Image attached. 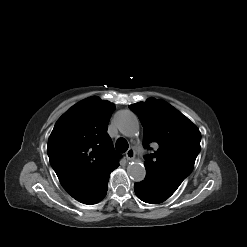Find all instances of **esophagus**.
I'll use <instances>...</instances> for the list:
<instances>
[{
	"mask_svg": "<svg viewBox=\"0 0 247 247\" xmlns=\"http://www.w3.org/2000/svg\"><path fill=\"white\" fill-rule=\"evenodd\" d=\"M126 158L128 160H133L135 158V151L130 148L127 152H126Z\"/></svg>",
	"mask_w": 247,
	"mask_h": 247,
	"instance_id": "obj_1",
	"label": "esophagus"
}]
</instances>
